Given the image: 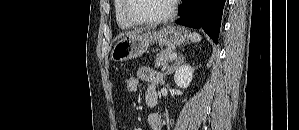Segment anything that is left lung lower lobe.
Returning a JSON list of instances; mask_svg holds the SVG:
<instances>
[{
  "mask_svg": "<svg viewBox=\"0 0 299 130\" xmlns=\"http://www.w3.org/2000/svg\"><path fill=\"white\" fill-rule=\"evenodd\" d=\"M225 0H182L177 24L203 30L217 44Z\"/></svg>",
  "mask_w": 299,
  "mask_h": 130,
  "instance_id": "obj_1",
  "label": "left lung lower lobe"
}]
</instances>
